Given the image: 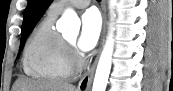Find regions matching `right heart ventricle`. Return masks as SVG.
<instances>
[{"mask_svg":"<svg viewBox=\"0 0 173 91\" xmlns=\"http://www.w3.org/2000/svg\"><path fill=\"white\" fill-rule=\"evenodd\" d=\"M56 15L47 14L31 34L24 50V71L37 80L63 81L73 73L66 42L53 27Z\"/></svg>","mask_w":173,"mask_h":91,"instance_id":"1","label":"right heart ventricle"}]
</instances>
